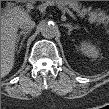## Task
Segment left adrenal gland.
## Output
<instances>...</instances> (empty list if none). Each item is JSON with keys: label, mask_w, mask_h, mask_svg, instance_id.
<instances>
[{"label": "left adrenal gland", "mask_w": 109, "mask_h": 109, "mask_svg": "<svg viewBox=\"0 0 109 109\" xmlns=\"http://www.w3.org/2000/svg\"><path fill=\"white\" fill-rule=\"evenodd\" d=\"M63 26H65V27L68 28V35L71 34L72 30L78 29V25L73 26V25H71V24H63Z\"/></svg>", "instance_id": "1"}]
</instances>
